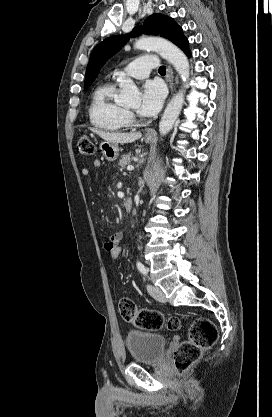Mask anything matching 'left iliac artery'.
I'll return each instance as SVG.
<instances>
[{"label":"left iliac artery","instance_id":"left-iliac-artery-1","mask_svg":"<svg viewBox=\"0 0 272 417\" xmlns=\"http://www.w3.org/2000/svg\"><path fill=\"white\" fill-rule=\"evenodd\" d=\"M137 268L142 274L147 275L148 270L141 262H137Z\"/></svg>","mask_w":272,"mask_h":417}]
</instances>
